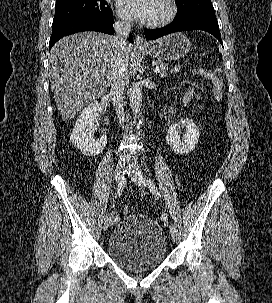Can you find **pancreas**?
Returning <instances> with one entry per match:
<instances>
[{
  "label": "pancreas",
  "mask_w": 272,
  "mask_h": 303,
  "mask_svg": "<svg viewBox=\"0 0 272 303\" xmlns=\"http://www.w3.org/2000/svg\"><path fill=\"white\" fill-rule=\"evenodd\" d=\"M156 66L159 67V74L161 77H166L168 72V64L163 61H158Z\"/></svg>",
  "instance_id": "pancreas-1"
}]
</instances>
